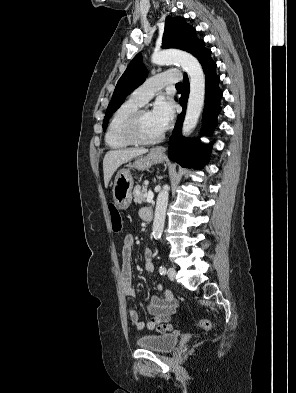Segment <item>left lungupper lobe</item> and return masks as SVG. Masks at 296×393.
Here are the masks:
<instances>
[{"mask_svg":"<svg viewBox=\"0 0 296 393\" xmlns=\"http://www.w3.org/2000/svg\"><path fill=\"white\" fill-rule=\"evenodd\" d=\"M162 48H177L194 55L199 62L210 52L204 47V41L195 35V29L186 24L184 18L168 16L165 21ZM147 75L141 54L136 55L119 79L112 99L106 110L103 122L105 131L111 114L120 107L126 96L140 86Z\"/></svg>","mask_w":296,"mask_h":393,"instance_id":"left-lung-upper-lobe-1","label":"left lung upper lobe"}]
</instances>
